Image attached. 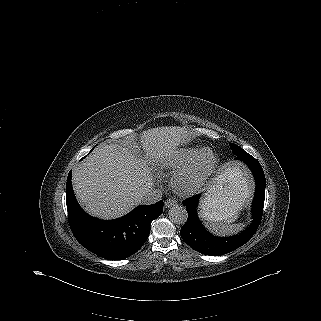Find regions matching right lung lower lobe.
<instances>
[{
  "instance_id": "1",
  "label": "right lung lower lobe",
  "mask_w": 321,
  "mask_h": 321,
  "mask_svg": "<svg viewBox=\"0 0 321 321\" xmlns=\"http://www.w3.org/2000/svg\"><path fill=\"white\" fill-rule=\"evenodd\" d=\"M69 224L77 241L89 251L108 260L125 259L137 252L148 239L151 222L163 212V201L138 206L115 220L89 216L78 205L69 172L66 184Z\"/></svg>"
}]
</instances>
